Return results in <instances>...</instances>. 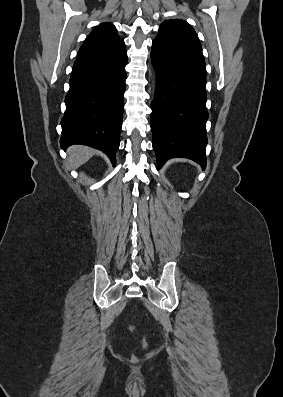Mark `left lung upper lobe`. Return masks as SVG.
Returning <instances> with one entry per match:
<instances>
[{
  "mask_svg": "<svg viewBox=\"0 0 283 397\" xmlns=\"http://www.w3.org/2000/svg\"><path fill=\"white\" fill-rule=\"evenodd\" d=\"M152 44L169 52L197 72L206 75L201 44L196 32L186 21L180 19L164 21Z\"/></svg>",
  "mask_w": 283,
  "mask_h": 397,
  "instance_id": "1",
  "label": "left lung upper lobe"
}]
</instances>
